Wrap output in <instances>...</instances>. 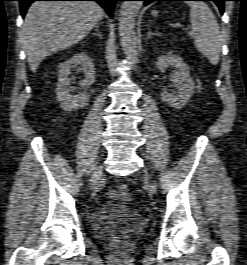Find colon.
<instances>
[{
  "mask_svg": "<svg viewBox=\"0 0 247 265\" xmlns=\"http://www.w3.org/2000/svg\"><path fill=\"white\" fill-rule=\"evenodd\" d=\"M118 192L121 195H126L127 193H129V190H128V187L125 184H122V185L119 186Z\"/></svg>",
  "mask_w": 247,
  "mask_h": 265,
  "instance_id": "5ec220e1",
  "label": "colon"
}]
</instances>
